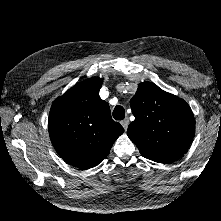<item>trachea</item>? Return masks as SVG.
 Masks as SVG:
<instances>
[{
	"label": "trachea",
	"instance_id": "3493384b",
	"mask_svg": "<svg viewBox=\"0 0 221 221\" xmlns=\"http://www.w3.org/2000/svg\"><path fill=\"white\" fill-rule=\"evenodd\" d=\"M115 120H123L125 118V110L121 105H117L113 110Z\"/></svg>",
	"mask_w": 221,
	"mask_h": 221
}]
</instances>
